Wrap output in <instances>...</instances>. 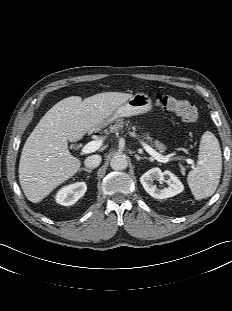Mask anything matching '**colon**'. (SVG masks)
I'll return each instance as SVG.
<instances>
[{"label": "colon", "mask_w": 232, "mask_h": 311, "mask_svg": "<svg viewBox=\"0 0 232 311\" xmlns=\"http://www.w3.org/2000/svg\"><path fill=\"white\" fill-rule=\"evenodd\" d=\"M155 102L162 109L178 115L184 122L196 123L199 119L197 107L187 100L177 99L168 95H157Z\"/></svg>", "instance_id": "obj_1"}]
</instances>
